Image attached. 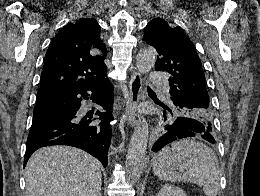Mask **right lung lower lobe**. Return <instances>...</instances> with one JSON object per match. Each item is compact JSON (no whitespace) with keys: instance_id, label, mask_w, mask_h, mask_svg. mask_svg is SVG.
<instances>
[{"instance_id":"98d812e1","label":"right lung lower lobe","mask_w":260,"mask_h":196,"mask_svg":"<svg viewBox=\"0 0 260 196\" xmlns=\"http://www.w3.org/2000/svg\"><path fill=\"white\" fill-rule=\"evenodd\" d=\"M112 91V84L107 78L98 84L35 107L41 111L62 115V117L31 127L26 143L24 166L31 154L41 147L69 145L85 150L106 167L111 138L109 123L113 118L109 109V104L113 99ZM83 99H91L106 112L96 110L94 116L92 113L83 116L81 113Z\"/></svg>"}]
</instances>
